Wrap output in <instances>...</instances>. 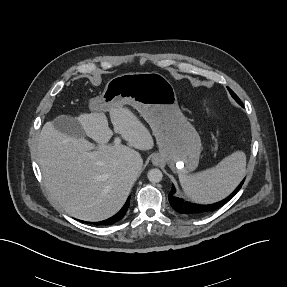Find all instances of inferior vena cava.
Here are the masks:
<instances>
[{
    "label": "inferior vena cava",
    "instance_id": "inferior-vena-cava-1",
    "mask_svg": "<svg viewBox=\"0 0 287 287\" xmlns=\"http://www.w3.org/2000/svg\"><path fill=\"white\" fill-rule=\"evenodd\" d=\"M142 165H143V161L141 157H137L131 162V167L136 171H140L142 168Z\"/></svg>",
    "mask_w": 287,
    "mask_h": 287
}]
</instances>
